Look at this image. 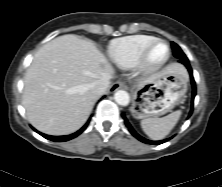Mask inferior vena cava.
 Returning <instances> with one entry per match:
<instances>
[{
    "label": "inferior vena cava",
    "mask_w": 222,
    "mask_h": 187,
    "mask_svg": "<svg viewBox=\"0 0 222 187\" xmlns=\"http://www.w3.org/2000/svg\"><path fill=\"white\" fill-rule=\"evenodd\" d=\"M110 79V76H105L99 80L92 82L90 86L91 91L98 96L104 94L109 86Z\"/></svg>",
    "instance_id": "inferior-vena-cava-1"
}]
</instances>
